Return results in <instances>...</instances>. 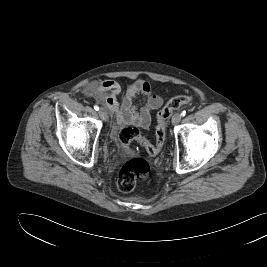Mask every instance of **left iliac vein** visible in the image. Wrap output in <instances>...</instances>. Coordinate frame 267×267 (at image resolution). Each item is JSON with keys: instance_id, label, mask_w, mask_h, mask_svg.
Instances as JSON below:
<instances>
[{"instance_id": "1", "label": "left iliac vein", "mask_w": 267, "mask_h": 267, "mask_svg": "<svg viewBox=\"0 0 267 267\" xmlns=\"http://www.w3.org/2000/svg\"><path fill=\"white\" fill-rule=\"evenodd\" d=\"M181 121V114L176 113L172 117V123L173 124H178Z\"/></svg>"}]
</instances>
